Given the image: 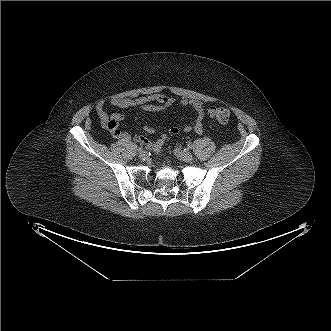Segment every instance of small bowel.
<instances>
[{
  "mask_svg": "<svg viewBox=\"0 0 331 331\" xmlns=\"http://www.w3.org/2000/svg\"><path fill=\"white\" fill-rule=\"evenodd\" d=\"M178 103L183 107H190L196 113L195 120L184 127L173 126L169 128L166 132H163L159 137L155 140L150 141L142 135H135L133 139L147 146L151 150H157L163 146L166 139L171 135H177L180 132H190L193 131L197 134H201L204 128V114H205V106L201 101L192 100V99H180L177 100L174 97L167 96L161 93H155L148 96H139L135 98H113L110 100V104L114 107L126 109L136 107L141 110L147 112H161L167 109L168 107ZM96 112L98 118L102 125H104L111 135L114 138H122L124 140H130L131 135L128 132L122 131L120 129V124L124 120V116L120 113H111L108 114L105 110V102L100 101L96 106ZM143 130L148 134H154L155 129L146 124L143 127Z\"/></svg>",
  "mask_w": 331,
  "mask_h": 331,
  "instance_id": "c3829d8e",
  "label": "small bowel"
}]
</instances>
